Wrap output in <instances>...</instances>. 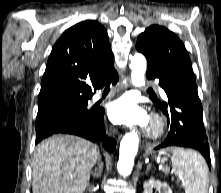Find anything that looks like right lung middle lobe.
<instances>
[{
  "instance_id": "right-lung-middle-lobe-1",
  "label": "right lung middle lobe",
  "mask_w": 221,
  "mask_h": 193,
  "mask_svg": "<svg viewBox=\"0 0 221 193\" xmlns=\"http://www.w3.org/2000/svg\"><path fill=\"white\" fill-rule=\"evenodd\" d=\"M87 99H54L38 103L36 135L73 124H89L96 110L87 108Z\"/></svg>"
}]
</instances>
